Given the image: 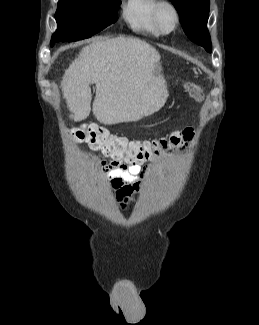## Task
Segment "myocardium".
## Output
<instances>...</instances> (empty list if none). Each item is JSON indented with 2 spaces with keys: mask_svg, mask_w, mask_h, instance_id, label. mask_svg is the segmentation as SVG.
I'll return each mask as SVG.
<instances>
[{
  "mask_svg": "<svg viewBox=\"0 0 259 325\" xmlns=\"http://www.w3.org/2000/svg\"><path fill=\"white\" fill-rule=\"evenodd\" d=\"M163 7L170 8L172 10L173 14H174V24H173L172 28L169 29V30L163 29L161 24H160L159 13H160V10ZM152 18H153V22H154L156 28L158 29V31L161 34L166 35V34H170V33L174 32L178 28V26L180 24V20H181V15H180L179 8L172 1H169V0H157V3L154 6L153 11H152Z\"/></svg>",
  "mask_w": 259,
  "mask_h": 325,
  "instance_id": "1",
  "label": "myocardium"
}]
</instances>
